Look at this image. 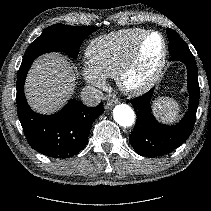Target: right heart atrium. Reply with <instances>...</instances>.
Instances as JSON below:
<instances>
[{
    "mask_svg": "<svg viewBox=\"0 0 211 211\" xmlns=\"http://www.w3.org/2000/svg\"><path fill=\"white\" fill-rule=\"evenodd\" d=\"M84 80L95 88H102L105 85V78L101 76L89 63H84L81 68Z\"/></svg>",
    "mask_w": 211,
    "mask_h": 211,
    "instance_id": "d8ad5b80",
    "label": "right heart atrium"
}]
</instances>
